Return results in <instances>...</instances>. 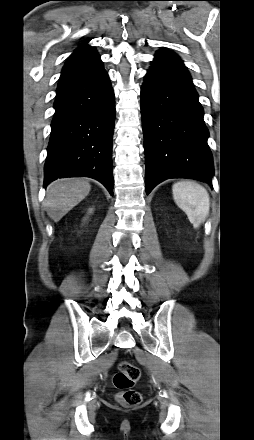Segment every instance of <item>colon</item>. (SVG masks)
I'll return each instance as SVG.
<instances>
[{
  "mask_svg": "<svg viewBox=\"0 0 254 440\" xmlns=\"http://www.w3.org/2000/svg\"><path fill=\"white\" fill-rule=\"evenodd\" d=\"M140 378V370L128 361H121L118 370L114 374L113 384L118 390L115 398L123 407H135L142 401L140 392L133 389Z\"/></svg>",
  "mask_w": 254,
  "mask_h": 440,
  "instance_id": "1",
  "label": "colon"
}]
</instances>
